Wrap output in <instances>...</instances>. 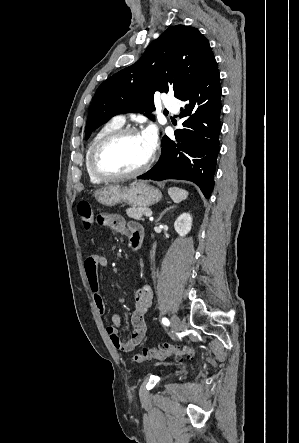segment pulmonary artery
<instances>
[{
    "label": "pulmonary artery",
    "mask_w": 299,
    "mask_h": 443,
    "mask_svg": "<svg viewBox=\"0 0 299 443\" xmlns=\"http://www.w3.org/2000/svg\"><path fill=\"white\" fill-rule=\"evenodd\" d=\"M163 105L173 113L177 112L179 109L178 100L169 94L164 96ZM114 119L122 124L125 122V116L123 115H118Z\"/></svg>",
    "instance_id": "obj_1"
}]
</instances>
